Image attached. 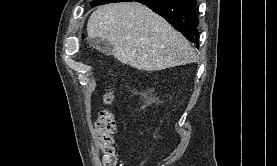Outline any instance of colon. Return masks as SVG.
<instances>
[{
	"label": "colon",
	"mask_w": 277,
	"mask_h": 166,
	"mask_svg": "<svg viewBox=\"0 0 277 166\" xmlns=\"http://www.w3.org/2000/svg\"><path fill=\"white\" fill-rule=\"evenodd\" d=\"M114 101V93L108 88L104 95L105 108L100 112L96 121V132L99 140V147L103 154L104 166H115L116 155L114 146V133L116 130L115 118L110 109Z\"/></svg>",
	"instance_id": "colon-1"
}]
</instances>
